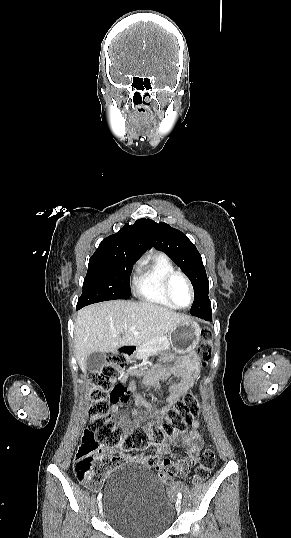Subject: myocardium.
<instances>
[{
    "instance_id": "obj_1",
    "label": "myocardium",
    "mask_w": 291,
    "mask_h": 538,
    "mask_svg": "<svg viewBox=\"0 0 291 538\" xmlns=\"http://www.w3.org/2000/svg\"><path fill=\"white\" fill-rule=\"evenodd\" d=\"M177 277H180L182 278L185 283L187 284L188 288H189V292H190V301L189 303L186 305V306H179L175 303L174 299H173V296H172V292H171V286H172V283L174 281L175 278ZM164 291H165V295L167 297V299L171 302V304L177 308V309H186L188 307H190L193 302H194V288H193V285L191 283V280L188 278V276L181 272V271H174L170 274H168L164 280Z\"/></svg>"
}]
</instances>
